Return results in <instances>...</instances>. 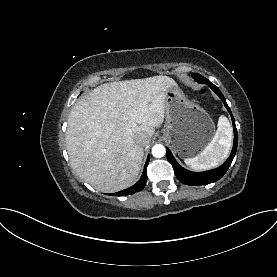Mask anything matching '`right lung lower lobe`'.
Returning a JSON list of instances; mask_svg holds the SVG:
<instances>
[{
	"mask_svg": "<svg viewBox=\"0 0 277 277\" xmlns=\"http://www.w3.org/2000/svg\"><path fill=\"white\" fill-rule=\"evenodd\" d=\"M149 160H150V158L148 156L147 160H146V163H145V166H144V170H143L142 176H141V178L139 179V181L135 185H133V186L127 188V189H124V190H122L120 192L112 193L110 195H112V196H127V195H132L135 192L141 191L145 187V185H146V181H147L146 169H147Z\"/></svg>",
	"mask_w": 277,
	"mask_h": 277,
	"instance_id": "1",
	"label": "right lung lower lobe"
}]
</instances>
